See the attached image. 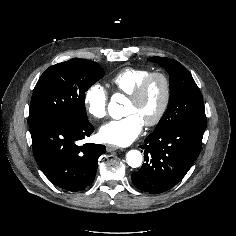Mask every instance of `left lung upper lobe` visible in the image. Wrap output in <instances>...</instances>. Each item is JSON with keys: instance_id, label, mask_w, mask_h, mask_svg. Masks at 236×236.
<instances>
[{"instance_id": "1", "label": "left lung upper lobe", "mask_w": 236, "mask_h": 236, "mask_svg": "<svg viewBox=\"0 0 236 236\" xmlns=\"http://www.w3.org/2000/svg\"><path fill=\"white\" fill-rule=\"evenodd\" d=\"M149 61L160 64L170 75V103L154 131L175 126L206 128L203 97L189 71L166 57H152Z\"/></svg>"}]
</instances>
